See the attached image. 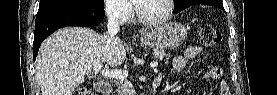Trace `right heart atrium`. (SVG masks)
<instances>
[{
  "mask_svg": "<svg viewBox=\"0 0 277 95\" xmlns=\"http://www.w3.org/2000/svg\"><path fill=\"white\" fill-rule=\"evenodd\" d=\"M103 6L113 21L126 22L131 16V9L125 0H104Z\"/></svg>",
  "mask_w": 277,
  "mask_h": 95,
  "instance_id": "right-heart-atrium-1",
  "label": "right heart atrium"
}]
</instances>
